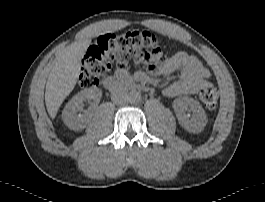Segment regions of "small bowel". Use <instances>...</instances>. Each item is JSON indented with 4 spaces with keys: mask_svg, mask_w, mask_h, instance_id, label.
Returning <instances> with one entry per match:
<instances>
[{
    "mask_svg": "<svg viewBox=\"0 0 265 202\" xmlns=\"http://www.w3.org/2000/svg\"><path fill=\"white\" fill-rule=\"evenodd\" d=\"M178 69H181V75L178 80L165 88V96L176 97L184 94H195L210 86V82L207 80L210 75L209 70L203 66L197 57L184 51L165 58L159 54L148 67L151 74L163 76L170 75Z\"/></svg>",
    "mask_w": 265,
    "mask_h": 202,
    "instance_id": "obj_1",
    "label": "small bowel"
}]
</instances>
